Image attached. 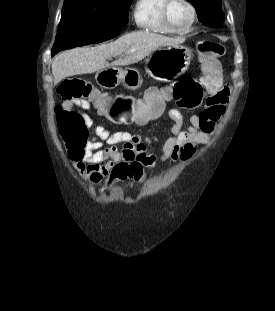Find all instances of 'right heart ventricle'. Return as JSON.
<instances>
[{"instance_id": "obj_1", "label": "right heart ventricle", "mask_w": 275, "mask_h": 311, "mask_svg": "<svg viewBox=\"0 0 275 311\" xmlns=\"http://www.w3.org/2000/svg\"><path fill=\"white\" fill-rule=\"evenodd\" d=\"M165 0H137L133 8L136 26L143 31L156 34H172L162 19Z\"/></svg>"}]
</instances>
